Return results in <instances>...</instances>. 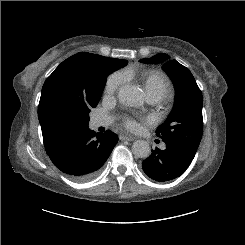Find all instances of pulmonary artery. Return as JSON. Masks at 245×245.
<instances>
[{
  "label": "pulmonary artery",
  "mask_w": 245,
  "mask_h": 245,
  "mask_svg": "<svg viewBox=\"0 0 245 245\" xmlns=\"http://www.w3.org/2000/svg\"><path fill=\"white\" fill-rule=\"evenodd\" d=\"M149 99V101H154L153 99H151V98H148ZM110 123V120L109 119H107V118H101V117H98V118H96L95 119V124L97 125V126H105V125H108Z\"/></svg>",
  "instance_id": "e3ab8cb5"
}]
</instances>
